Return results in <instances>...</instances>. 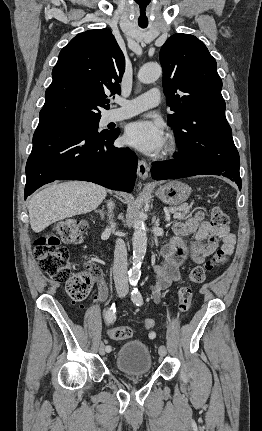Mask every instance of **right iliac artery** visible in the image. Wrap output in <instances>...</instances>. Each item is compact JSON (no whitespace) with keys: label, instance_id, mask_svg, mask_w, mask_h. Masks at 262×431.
<instances>
[{"label":"right iliac artery","instance_id":"1","mask_svg":"<svg viewBox=\"0 0 262 431\" xmlns=\"http://www.w3.org/2000/svg\"><path fill=\"white\" fill-rule=\"evenodd\" d=\"M116 320V307L112 304L111 307L105 312V321L107 324H111ZM106 350L110 351L111 347L106 346Z\"/></svg>","mask_w":262,"mask_h":431}]
</instances>
